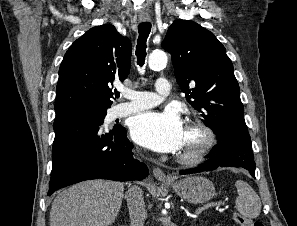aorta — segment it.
Listing matches in <instances>:
<instances>
[{"mask_svg": "<svg viewBox=\"0 0 297 226\" xmlns=\"http://www.w3.org/2000/svg\"><path fill=\"white\" fill-rule=\"evenodd\" d=\"M168 61L167 55L163 51H155L149 55L148 65L152 69H157L166 66Z\"/></svg>", "mask_w": 297, "mask_h": 226, "instance_id": "aorta-1", "label": "aorta"}]
</instances>
